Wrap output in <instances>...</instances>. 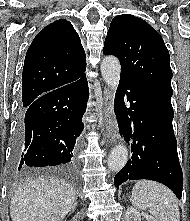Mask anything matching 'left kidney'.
<instances>
[{
  "label": "left kidney",
  "mask_w": 190,
  "mask_h": 221,
  "mask_svg": "<svg viewBox=\"0 0 190 221\" xmlns=\"http://www.w3.org/2000/svg\"><path fill=\"white\" fill-rule=\"evenodd\" d=\"M141 215L144 216L146 221H157L155 218L146 213H140L136 209L129 207L126 212V221H140Z\"/></svg>",
  "instance_id": "5707ae66"
}]
</instances>
